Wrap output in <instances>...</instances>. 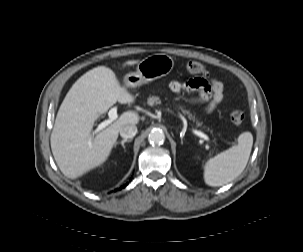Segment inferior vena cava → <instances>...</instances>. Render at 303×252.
<instances>
[{
  "label": "inferior vena cava",
  "instance_id": "obj_1",
  "mask_svg": "<svg viewBox=\"0 0 303 252\" xmlns=\"http://www.w3.org/2000/svg\"><path fill=\"white\" fill-rule=\"evenodd\" d=\"M120 135L123 138H133L137 133V127L134 124H127L119 129Z\"/></svg>",
  "mask_w": 303,
  "mask_h": 252
}]
</instances>
